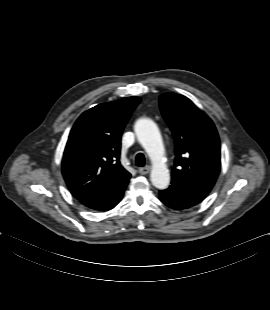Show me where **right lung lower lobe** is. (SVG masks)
<instances>
[{
	"label": "right lung lower lobe",
	"instance_id": "right-lung-lower-lobe-1",
	"mask_svg": "<svg viewBox=\"0 0 270 310\" xmlns=\"http://www.w3.org/2000/svg\"><path fill=\"white\" fill-rule=\"evenodd\" d=\"M130 178H126L118 183L113 189L103 194L102 196L82 203L83 205L98 211H108L114 208L121 200L125 188Z\"/></svg>",
	"mask_w": 270,
	"mask_h": 310
}]
</instances>
